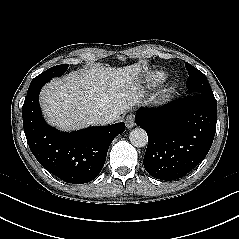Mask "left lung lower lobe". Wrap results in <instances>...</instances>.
<instances>
[{
    "label": "left lung lower lobe",
    "mask_w": 239,
    "mask_h": 239,
    "mask_svg": "<svg viewBox=\"0 0 239 239\" xmlns=\"http://www.w3.org/2000/svg\"><path fill=\"white\" fill-rule=\"evenodd\" d=\"M213 94H193L156 109L140 108L135 122L147 132L143 164L154 178L176 180L207 155L216 132Z\"/></svg>",
    "instance_id": "1"
}]
</instances>
